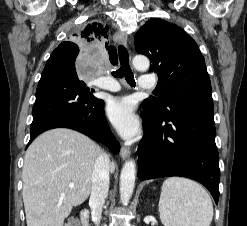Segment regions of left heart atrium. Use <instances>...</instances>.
Here are the masks:
<instances>
[{
    "label": "left heart atrium",
    "instance_id": "obj_1",
    "mask_svg": "<svg viewBox=\"0 0 247 226\" xmlns=\"http://www.w3.org/2000/svg\"><path fill=\"white\" fill-rule=\"evenodd\" d=\"M107 114L112 124L124 138H132L139 132V120L134 103L128 97L113 98L107 105Z\"/></svg>",
    "mask_w": 247,
    "mask_h": 226
}]
</instances>
